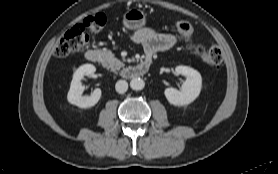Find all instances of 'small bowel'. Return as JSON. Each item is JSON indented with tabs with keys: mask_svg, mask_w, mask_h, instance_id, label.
I'll return each mask as SVG.
<instances>
[{
	"mask_svg": "<svg viewBox=\"0 0 278 174\" xmlns=\"http://www.w3.org/2000/svg\"><path fill=\"white\" fill-rule=\"evenodd\" d=\"M132 40L143 47L147 57L170 50L177 44L175 35L161 33L150 28L137 30L133 33Z\"/></svg>",
	"mask_w": 278,
	"mask_h": 174,
	"instance_id": "obj_1",
	"label": "small bowel"
}]
</instances>
